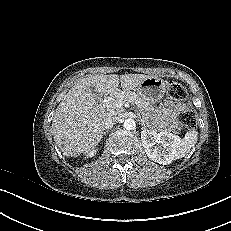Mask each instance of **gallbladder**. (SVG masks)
Returning <instances> with one entry per match:
<instances>
[{
  "instance_id": "bac80fb5",
  "label": "gallbladder",
  "mask_w": 231,
  "mask_h": 231,
  "mask_svg": "<svg viewBox=\"0 0 231 231\" xmlns=\"http://www.w3.org/2000/svg\"><path fill=\"white\" fill-rule=\"evenodd\" d=\"M91 92L96 100L100 99V93L95 89V87H91Z\"/></svg>"
}]
</instances>
